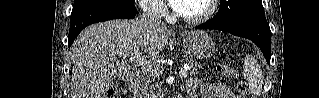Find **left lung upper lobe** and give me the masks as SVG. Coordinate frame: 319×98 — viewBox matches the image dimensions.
I'll return each instance as SVG.
<instances>
[{
    "mask_svg": "<svg viewBox=\"0 0 319 98\" xmlns=\"http://www.w3.org/2000/svg\"><path fill=\"white\" fill-rule=\"evenodd\" d=\"M258 16H265L261 0H220L219 11L206 24H237Z\"/></svg>",
    "mask_w": 319,
    "mask_h": 98,
    "instance_id": "5c2ea615",
    "label": "left lung upper lobe"
}]
</instances>
